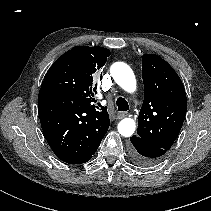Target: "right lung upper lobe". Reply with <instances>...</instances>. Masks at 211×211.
<instances>
[{
	"label": "right lung upper lobe",
	"instance_id": "right-lung-upper-lobe-1",
	"mask_svg": "<svg viewBox=\"0 0 211 211\" xmlns=\"http://www.w3.org/2000/svg\"><path fill=\"white\" fill-rule=\"evenodd\" d=\"M109 56L110 51L103 47L75 46L54 62L47 71L41 88L72 96L85 110L109 119L107 107L97 111L92 104L97 88L95 77Z\"/></svg>",
	"mask_w": 211,
	"mask_h": 211
}]
</instances>
